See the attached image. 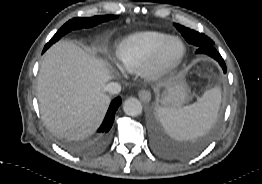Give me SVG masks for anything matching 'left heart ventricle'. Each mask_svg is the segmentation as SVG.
Listing matches in <instances>:
<instances>
[{
	"label": "left heart ventricle",
	"instance_id": "left-heart-ventricle-1",
	"mask_svg": "<svg viewBox=\"0 0 262 184\" xmlns=\"http://www.w3.org/2000/svg\"><path fill=\"white\" fill-rule=\"evenodd\" d=\"M179 50H180L179 45L178 44H173L170 47L169 51H168V55L169 56H174V55H176L179 52Z\"/></svg>",
	"mask_w": 262,
	"mask_h": 184
}]
</instances>
